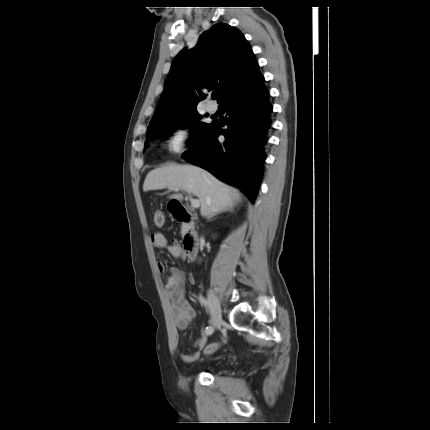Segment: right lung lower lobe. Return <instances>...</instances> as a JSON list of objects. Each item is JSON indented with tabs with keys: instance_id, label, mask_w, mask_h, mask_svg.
I'll list each match as a JSON object with an SVG mask.
<instances>
[{
	"instance_id": "obj_1",
	"label": "right lung lower lobe",
	"mask_w": 430,
	"mask_h": 430,
	"mask_svg": "<svg viewBox=\"0 0 430 430\" xmlns=\"http://www.w3.org/2000/svg\"><path fill=\"white\" fill-rule=\"evenodd\" d=\"M262 75L235 86L222 102L230 117L227 129L215 122L204 142L184 158L220 180L239 187L254 203L266 158V130L271 126L272 105ZM222 134L225 141H219Z\"/></svg>"
}]
</instances>
